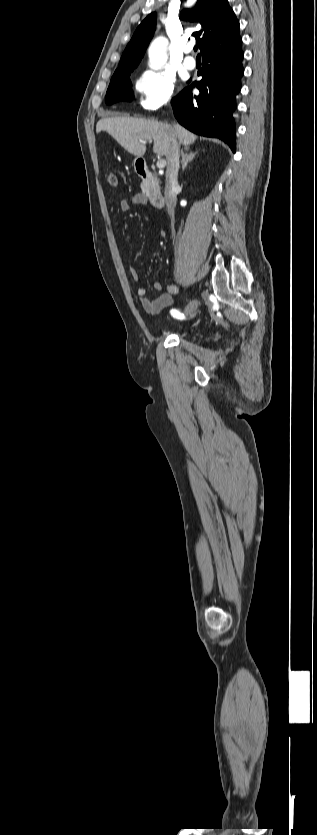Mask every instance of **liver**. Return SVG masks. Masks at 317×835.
<instances>
[{
  "mask_svg": "<svg viewBox=\"0 0 317 835\" xmlns=\"http://www.w3.org/2000/svg\"><path fill=\"white\" fill-rule=\"evenodd\" d=\"M106 131L125 150L136 157H142L146 152V143L154 140L153 151L159 156L168 155L172 138L187 147L193 144L197 136L179 124H167L154 120L134 118L130 116L105 117L98 121L96 132Z\"/></svg>",
  "mask_w": 317,
  "mask_h": 835,
  "instance_id": "6515ba94",
  "label": "liver"
}]
</instances>
